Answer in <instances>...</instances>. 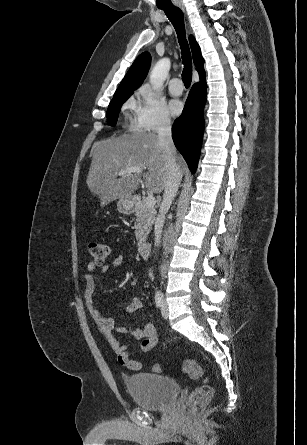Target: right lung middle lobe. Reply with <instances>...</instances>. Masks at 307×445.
Returning <instances> with one entry per match:
<instances>
[{
    "label": "right lung middle lobe",
    "mask_w": 307,
    "mask_h": 445,
    "mask_svg": "<svg viewBox=\"0 0 307 445\" xmlns=\"http://www.w3.org/2000/svg\"><path fill=\"white\" fill-rule=\"evenodd\" d=\"M127 99L128 98H124L110 103L106 113L107 123L109 125L114 126L116 124L120 107Z\"/></svg>",
    "instance_id": "obj_1"
}]
</instances>
